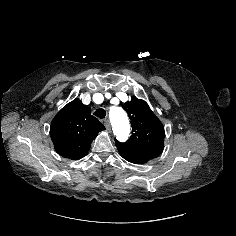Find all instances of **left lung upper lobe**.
Masks as SVG:
<instances>
[{
	"label": "left lung upper lobe",
	"mask_w": 236,
	"mask_h": 236,
	"mask_svg": "<svg viewBox=\"0 0 236 236\" xmlns=\"http://www.w3.org/2000/svg\"><path fill=\"white\" fill-rule=\"evenodd\" d=\"M132 126V135L125 143L115 139L116 146H126L135 149L163 150L164 127L149 105L133 96L131 101L123 105Z\"/></svg>",
	"instance_id": "left-lung-upper-lobe-1"
}]
</instances>
